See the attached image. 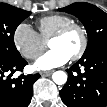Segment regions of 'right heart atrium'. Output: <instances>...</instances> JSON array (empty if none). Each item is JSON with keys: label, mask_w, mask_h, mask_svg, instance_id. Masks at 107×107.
<instances>
[{"label": "right heart atrium", "mask_w": 107, "mask_h": 107, "mask_svg": "<svg viewBox=\"0 0 107 107\" xmlns=\"http://www.w3.org/2000/svg\"><path fill=\"white\" fill-rule=\"evenodd\" d=\"M13 43L16 50L28 60L36 59L45 47V42L39 34L26 22L15 28Z\"/></svg>", "instance_id": "d8ad5b80"}]
</instances>
